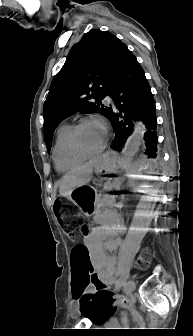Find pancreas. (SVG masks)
I'll return each instance as SVG.
<instances>
[{
  "label": "pancreas",
  "mask_w": 193,
  "mask_h": 336,
  "mask_svg": "<svg viewBox=\"0 0 193 336\" xmlns=\"http://www.w3.org/2000/svg\"><path fill=\"white\" fill-rule=\"evenodd\" d=\"M113 185L106 184L103 189L102 197L99 198V210L100 211H113L115 209V198L113 197V194L110 192Z\"/></svg>",
  "instance_id": "obj_1"
}]
</instances>
